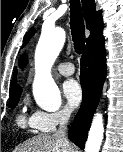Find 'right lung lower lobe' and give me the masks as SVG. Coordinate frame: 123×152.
<instances>
[{"label": "right lung lower lobe", "instance_id": "1", "mask_svg": "<svg viewBox=\"0 0 123 152\" xmlns=\"http://www.w3.org/2000/svg\"><path fill=\"white\" fill-rule=\"evenodd\" d=\"M106 76L104 37L85 48L81 58L80 81L83 91L81 107L69 129L68 137L81 149L87 139L92 116L98 105Z\"/></svg>", "mask_w": 123, "mask_h": 152}]
</instances>
